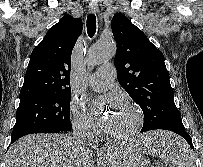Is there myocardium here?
Returning <instances> with one entry per match:
<instances>
[{"label": "myocardium", "instance_id": "myocardium-1", "mask_svg": "<svg viewBox=\"0 0 203 167\" xmlns=\"http://www.w3.org/2000/svg\"><path fill=\"white\" fill-rule=\"evenodd\" d=\"M124 106L133 113V115L135 117V122L130 130L123 132V133H115L108 129H105V132L111 138L116 139V140H128V139L132 138L139 132V130L143 124V119H144L143 113L137 106H135L134 104H132L130 102H125Z\"/></svg>", "mask_w": 203, "mask_h": 167}]
</instances>
